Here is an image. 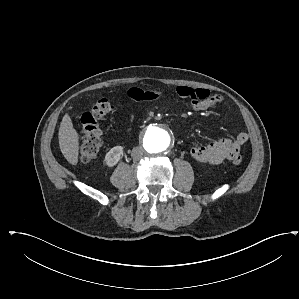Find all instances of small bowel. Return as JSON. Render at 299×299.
I'll list each match as a JSON object with an SVG mask.
<instances>
[{
  "label": "small bowel",
  "mask_w": 299,
  "mask_h": 299,
  "mask_svg": "<svg viewBox=\"0 0 299 299\" xmlns=\"http://www.w3.org/2000/svg\"><path fill=\"white\" fill-rule=\"evenodd\" d=\"M128 94L135 101H154L160 97L159 93L154 90H143L137 87L129 89ZM176 94L180 98L189 100V108L192 111H205L223 102L221 95L211 94L206 89L185 85L177 86ZM248 138L246 132H240L234 139L223 138L205 146L193 147L190 154L198 162L211 165L220 164L238 155Z\"/></svg>",
  "instance_id": "c3829d8e"
}]
</instances>
